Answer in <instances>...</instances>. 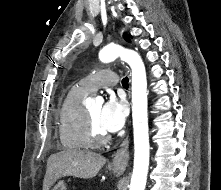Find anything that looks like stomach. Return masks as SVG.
Here are the masks:
<instances>
[{
    "label": "stomach",
    "instance_id": "stomach-1",
    "mask_svg": "<svg viewBox=\"0 0 221 190\" xmlns=\"http://www.w3.org/2000/svg\"><path fill=\"white\" fill-rule=\"evenodd\" d=\"M115 172H117L118 174L120 173L119 170H115ZM52 190H67L66 184L64 183V181H59L53 188Z\"/></svg>",
    "mask_w": 221,
    "mask_h": 190
}]
</instances>
